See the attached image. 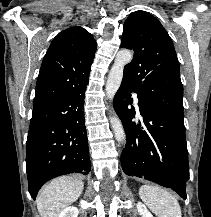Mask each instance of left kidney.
<instances>
[{
    "instance_id": "1",
    "label": "left kidney",
    "mask_w": 211,
    "mask_h": 217,
    "mask_svg": "<svg viewBox=\"0 0 211 217\" xmlns=\"http://www.w3.org/2000/svg\"><path fill=\"white\" fill-rule=\"evenodd\" d=\"M137 210L142 217H153L152 214L147 210L146 206L141 202L137 203Z\"/></svg>"
}]
</instances>
